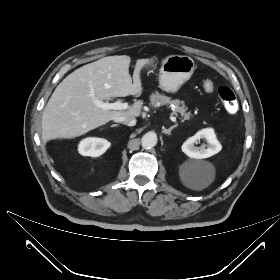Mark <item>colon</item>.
Returning <instances> with one entry per match:
<instances>
[{"label":"colon","mask_w":280,"mask_h":280,"mask_svg":"<svg viewBox=\"0 0 280 280\" xmlns=\"http://www.w3.org/2000/svg\"><path fill=\"white\" fill-rule=\"evenodd\" d=\"M204 89L211 92L214 89V84L210 80L204 81ZM218 95L223 102L225 109L229 113H235L238 110V101L233 90L227 86H220L218 88Z\"/></svg>","instance_id":"obj_1"}]
</instances>
